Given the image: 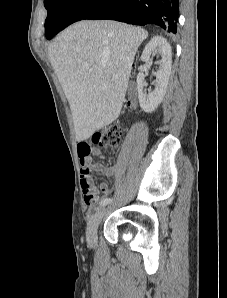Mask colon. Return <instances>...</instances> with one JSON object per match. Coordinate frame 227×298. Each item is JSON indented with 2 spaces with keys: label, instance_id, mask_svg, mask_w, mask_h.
Wrapping results in <instances>:
<instances>
[{
  "label": "colon",
  "instance_id": "1",
  "mask_svg": "<svg viewBox=\"0 0 227 298\" xmlns=\"http://www.w3.org/2000/svg\"><path fill=\"white\" fill-rule=\"evenodd\" d=\"M92 142L100 147H117L121 142V130L116 125H110L95 133ZM89 146L91 145L89 144ZM84 198L88 205H94L98 201L99 196L85 185Z\"/></svg>",
  "mask_w": 227,
  "mask_h": 298
}]
</instances>
